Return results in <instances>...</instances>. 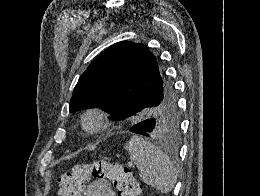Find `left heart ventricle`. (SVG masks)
I'll list each match as a JSON object with an SVG mask.
<instances>
[{"mask_svg": "<svg viewBox=\"0 0 260 196\" xmlns=\"http://www.w3.org/2000/svg\"><path fill=\"white\" fill-rule=\"evenodd\" d=\"M88 124L91 126L93 124V121H89Z\"/></svg>", "mask_w": 260, "mask_h": 196, "instance_id": "b2bd125f", "label": "left heart ventricle"}]
</instances>
